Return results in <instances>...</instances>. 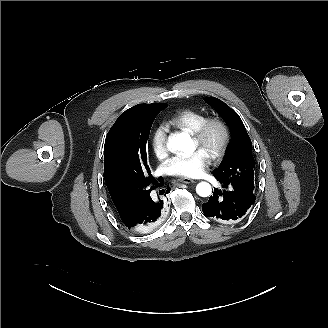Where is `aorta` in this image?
<instances>
[{"label": "aorta", "instance_id": "762f6f07", "mask_svg": "<svg viewBox=\"0 0 328 328\" xmlns=\"http://www.w3.org/2000/svg\"><path fill=\"white\" fill-rule=\"evenodd\" d=\"M167 147L172 153H192L195 150L193 140L185 133H178L169 137ZM196 193L201 197L210 196L212 193L211 185L207 182H200L196 186Z\"/></svg>", "mask_w": 328, "mask_h": 328}]
</instances>
